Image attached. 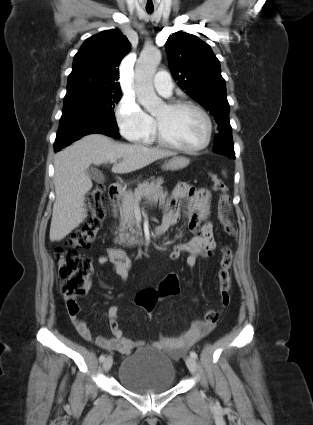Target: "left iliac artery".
Wrapping results in <instances>:
<instances>
[{
	"label": "left iliac artery",
	"mask_w": 313,
	"mask_h": 425,
	"mask_svg": "<svg viewBox=\"0 0 313 425\" xmlns=\"http://www.w3.org/2000/svg\"><path fill=\"white\" fill-rule=\"evenodd\" d=\"M190 356L193 357V358H195V359L197 358V354L194 351H191L190 352Z\"/></svg>",
	"instance_id": "44dca946"
}]
</instances>
